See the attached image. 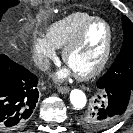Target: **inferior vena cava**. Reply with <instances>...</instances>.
Returning a JSON list of instances; mask_svg holds the SVG:
<instances>
[{"label":"inferior vena cava","instance_id":"inferior-vena-cava-1","mask_svg":"<svg viewBox=\"0 0 133 133\" xmlns=\"http://www.w3.org/2000/svg\"><path fill=\"white\" fill-rule=\"evenodd\" d=\"M33 61L35 65L42 71H47L50 67V61L46 56L34 55Z\"/></svg>","mask_w":133,"mask_h":133}]
</instances>
